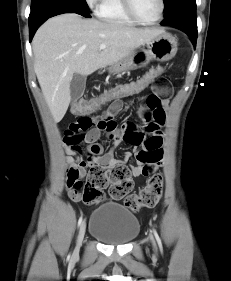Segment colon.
Listing matches in <instances>:
<instances>
[{
  "instance_id": "1",
  "label": "colon",
  "mask_w": 231,
  "mask_h": 281,
  "mask_svg": "<svg viewBox=\"0 0 231 281\" xmlns=\"http://www.w3.org/2000/svg\"><path fill=\"white\" fill-rule=\"evenodd\" d=\"M163 72L164 68L161 66L152 68L136 79L115 85L94 99L76 103L74 112L77 114L88 113L107 102L137 95L150 86ZM108 186L113 198L121 199L125 197L133 188L130 170L124 165H118L110 169L101 166L92 167L85 182L76 181L73 184V193L81 201L94 204L103 199L104 189ZM162 192L163 177L161 174H154L139 194L130 195L126 198L125 205L133 211L142 207L153 208L159 202Z\"/></svg>"
}]
</instances>
